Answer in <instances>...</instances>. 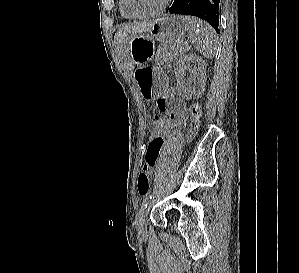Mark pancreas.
<instances>
[{"instance_id":"obj_1","label":"pancreas","mask_w":299,"mask_h":273,"mask_svg":"<svg viewBox=\"0 0 299 273\" xmlns=\"http://www.w3.org/2000/svg\"><path fill=\"white\" fill-rule=\"evenodd\" d=\"M188 49V46L183 43H164L158 46L155 52V62L157 65H162L171 61L176 56L182 54Z\"/></svg>"}]
</instances>
